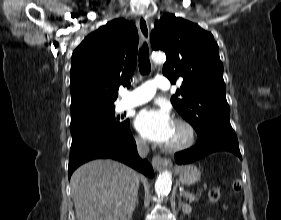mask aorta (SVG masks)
<instances>
[{
	"mask_svg": "<svg viewBox=\"0 0 281 220\" xmlns=\"http://www.w3.org/2000/svg\"><path fill=\"white\" fill-rule=\"evenodd\" d=\"M152 60L155 63H162L165 61V55L162 53H154L152 54ZM171 184H172V175L169 171H164L161 173L155 183V192L157 195L160 196H166L170 190H171Z\"/></svg>",
	"mask_w": 281,
	"mask_h": 220,
	"instance_id": "762f6f07",
	"label": "aorta"
}]
</instances>
